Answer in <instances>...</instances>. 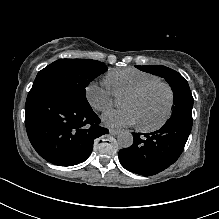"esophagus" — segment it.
Returning <instances> with one entry per match:
<instances>
[{
  "mask_svg": "<svg viewBox=\"0 0 219 219\" xmlns=\"http://www.w3.org/2000/svg\"><path fill=\"white\" fill-rule=\"evenodd\" d=\"M109 133L112 134V135H118L120 133V130L119 129H110L109 130Z\"/></svg>",
  "mask_w": 219,
  "mask_h": 219,
  "instance_id": "34e87169",
  "label": "esophagus"
}]
</instances>
